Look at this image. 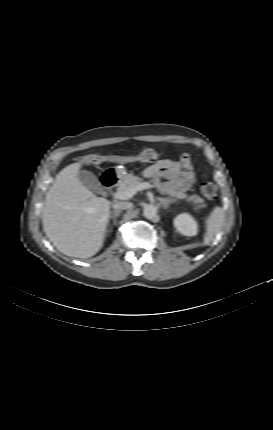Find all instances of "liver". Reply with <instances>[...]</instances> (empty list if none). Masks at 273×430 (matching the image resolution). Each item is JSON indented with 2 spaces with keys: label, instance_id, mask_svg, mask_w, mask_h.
Segmentation results:
<instances>
[{
  "label": "liver",
  "instance_id": "6515ba94",
  "mask_svg": "<svg viewBox=\"0 0 273 430\" xmlns=\"http://www.w3.org/2000/svg\"><path fill=\"white\" fill-rule=\"evenodd\" d=\"M72 163L56 176L42 209L43 229L64 255L89 258L103 245L111 202L84 186Z\"/></svg>",
  "mask_w": 273,
  "mask_h": 430
}]
</instances>
